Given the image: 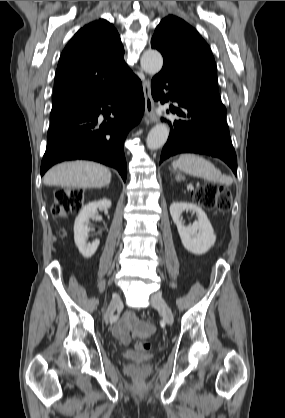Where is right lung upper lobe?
I'll return each instance as SVG.
<instances>
[{"instance_id": "cb5924a9", "label": "right lung upper lobe", "mask_w": 285, "mask_h": 418, "mask_svg": "<svg viewBox=\"0 0 285 418\" xmlns=\"http://www.w3.org/2000/svg\"><path fill=\"white\" fill-rule=\"evenodd\" d=\"M116 29L99 19L81 28L64 48L57 66L52 109L87 105L125 85L132 71Z\"/></svg>"}]
</instances>
